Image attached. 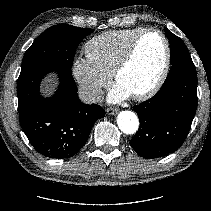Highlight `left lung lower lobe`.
I'll return each instance as SVG.
<instances>
[{"label":"left lung lower lobe","mask_w":211,"mask_h":211,"mask_svg":"<svg viewBox=\"0 0 211 211\" xmlns=\"http://www.w3.org/2000/svg\"><path fill=\"white\" fill-rule=\"evenodd\" d=\"M159 92L134 106L140 121L131 147L143 158H157L180 148L197 108V73L190 56L171 63Z\"/></svg>","instance_id":"left-lung-lower-lobe-1"}]
</instances>
